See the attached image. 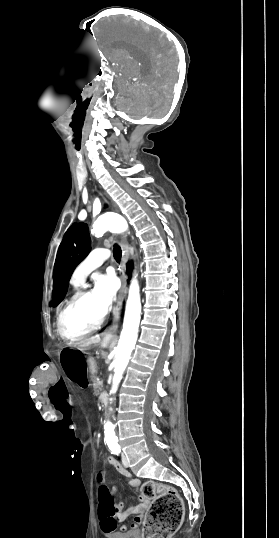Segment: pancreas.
Instances as JSON below:
<instances>
[{
  "label": "pancreas",
  "mask_w": 279,
  "mask_h": 538,
  "mask_svg": "<svg viewBox=\"0 0 279 538\" xmlns=\"http://www.w3.org/2000/svg\"><path fill=\"white\" fill-rule=\"evenodd\" d=\"M99 387H100V384H97V382H95V384H93V388L95 390L94 395L96 397H100L102 395L101 388H99Z\"/></svg>",
  "instance_id": "1"
}]
</instances>
